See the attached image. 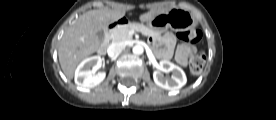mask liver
Masks as SVG:
<instances>
[{
    "mask_svg": "<svg viewBox=\"0 0 276 120\" xmlns=\"http://www.w3.org/2000/svg\"><path fill=\"white\" fill-rule=\"evenodd\" d=\"M169 9L151 10L140 16L146 22L156 14ZM125 15L123 10L99 9L90 10L79 17L61 39L58 57L61 68L68 79H72L76 66L81 60L96 52L101 45L97 33L105 30L109 24L118 21Z\"/></svg>",
    "mask_w": 276,
    "mask_h": 120,
    "instance_id": "obj_1",
    "label": "liver"
}]
</instances>
